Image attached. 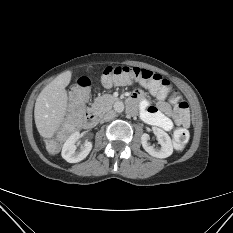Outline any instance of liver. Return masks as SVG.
<instances>
[{"mask_svg": "<svg viewBox=\"0 0 233 233\" xmlns=\"http://www.w3.org/2000/svg\"><path fill=\"white\" fill-rule=\"evenodd\" d=\"M72 77L71 71L58 75L41 91L34 108L35 124L39 134L52 138L64 120L67 110V91Z\"/></svg>", "mask_w": 233, "mask_h": 233, "instance_id": "6515ba94", "label": "liver"}]
</instances>
